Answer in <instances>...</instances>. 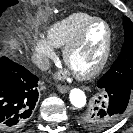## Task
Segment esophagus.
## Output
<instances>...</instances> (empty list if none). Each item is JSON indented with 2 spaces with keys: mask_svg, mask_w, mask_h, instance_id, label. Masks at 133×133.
<instances>
[{
  "mask_svg": "<svg viewBox=\"0 0 133 133\" xmlns=\"http://www.w3.org/2000/svg\"><path fill=\"white\" fill-rule=\"evenodd\" d=\"M70 87L66 85H58V91L61 93H67Z\"/></svg>",
  "mask_w": 133,
  "mask_h": 133,
  "instance_id": "1",
  "label": "esophagus"
}]
</instances>
